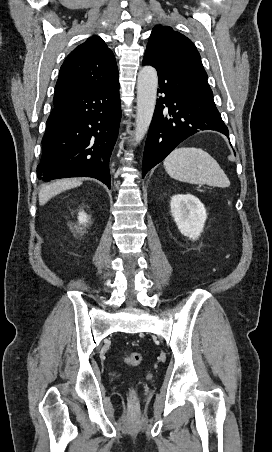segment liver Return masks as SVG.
<instances>
[{
  "label": "liver",
  "instance_id": "1",
  "mask_svg": "<svg viewBox=\"0 0 272 452\" xmlns=\"http://www.w3.org/2000/svg\"><path fill=\"white\" fill-rule=\"evenodd\" d=\"M82 180L76 178H66L57 180L51 184L45 185L39 192V204L44 205L55 195L81 185Z\"/></svg>",
  "mask_w": 272,
  "mask_h": 452
}]
</instances>
